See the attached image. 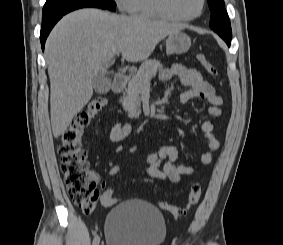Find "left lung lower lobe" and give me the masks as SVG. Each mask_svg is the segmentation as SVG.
Masks as SVG:
<instances>
[{"mask_svg":"<svg viewBox=\"0 0 283 245\" xmlns=\"http://www.w3.org/2000/svg\"><path fill=\"white\" fill-rule=\"evenodd\" d=\"M225 42L227 43L228 46H230L231 40H227Z\"/></svg>","mask_w":283,"mask_h":245,"instance_id":"0a47b994","label":"left lung lower lobe"}]
</instances>
